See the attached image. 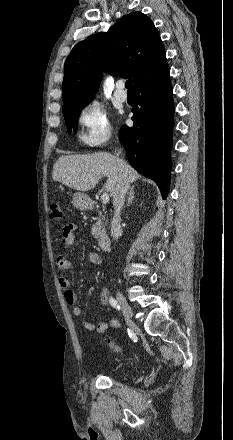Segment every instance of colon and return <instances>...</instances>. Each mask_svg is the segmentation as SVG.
<instances>
[{
	"label": "colon",
	"instance_id": "5ec220e1",
	"mask_svg": "<svg viewBox=\"0 0 233 440\" xmlns=\"http://www.w3.org/2000/svg\"><path fill=\"white\" fill-rule=\"evenodd\" d=\"M50 210H51V218L53 219H61L63 216V210H62V205L60 202H53L50 206ZM104 344H106L112 351L114 352H120V347L118 345H116L113 341L111 340H105L103 341Z\"/></svg>",
	"mask_w": 233,
	"mask_h": 440
}]
</instances>
